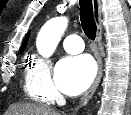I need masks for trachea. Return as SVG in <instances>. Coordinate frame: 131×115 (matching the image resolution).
<instances>
[{"instance_id":"1","label":"trachea","mask_w":131,"mask_h":115,"mask_svg":"<svg viewBox=\"0 0 131 115\" xmlns=\"http://www.w3.org/2000/svg\"><path fill=\"white\" fill-rule=\"evenodd\" d=\"M79 4L82 29L89 39L94 40L97 26L94 20L92 1L80 0Z\"/></svg>"}]
</instances>
